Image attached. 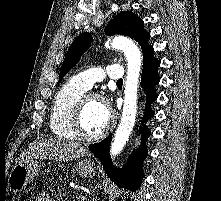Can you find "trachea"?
<instances>
[{
    "label": "trachea",
    "mask_w": 221,
    "mask_h": 201,
    "mask_svg": "<svg viewBox=\"0 0 221 201\" xmlns=\"http://www.w3.org/2000/svg\"><path fill=\"white\" fill-rule=\"evenodd\" d=\"M117 84H123V80L117 81Z\"/></svg>",
    "instance_id": "1"
}]
</instances>
